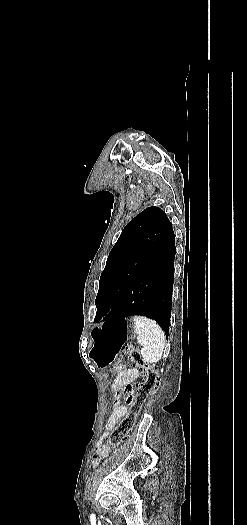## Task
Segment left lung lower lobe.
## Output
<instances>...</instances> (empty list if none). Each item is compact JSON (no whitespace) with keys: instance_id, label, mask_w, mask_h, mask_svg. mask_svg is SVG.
<instances>
[{"instance_id":"1","label":"left lung lower lobe","mask_w":247,"mask_h":525,"mask_svg":"<svg viewBox=\"0 0 247 525\" xmlns=\"http://www.w3.org/2000/svg\"><path fill=\"white\" fill-rule=\"evenodd\" d=\"M175 235L172 225L155 246L145 269L103 320L120 321L142 315L154 319L169 333L174 278Z\"/></svg>"}]
</instances>
